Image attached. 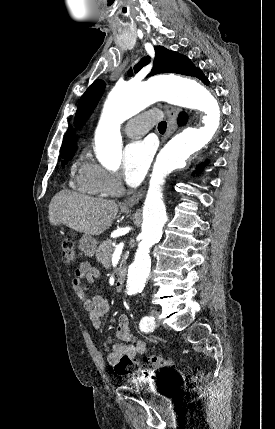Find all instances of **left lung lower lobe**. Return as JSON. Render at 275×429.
<instances>
[{"mask_svg":"<svg viewBox=\"0 0 275 429\" xmlns=\"http://www.w3.org/2000/svg\"><path fill=\"white\" fill-rule=\"evenodd\" d=\"M196 77L199 78L204 84H206V85L209 84L208 79L204 76V74L201 72V70H198L196 72Z\"/></svg>","mask_w":275,"mask_h":429,"instance_id":"obj_1","label":"left lung lower lobe"}]
</instances>
